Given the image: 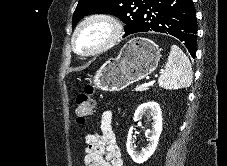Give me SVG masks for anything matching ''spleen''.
I'll list each match as a JSON object with an SVG mask.
<instances>
[{
    "instance_id": "spleen-1",
    "label": "spleen",
    "mask_w": 227,
    "mask_h": 166,
    "mask_svg": "<svg viewBox=\"0 0 227 166\" xmlns=\"http://www.w3.org/2000/svg\"><path fill=\"white\" fill-rule=\"evenodd\" d=\"M192 81L193 73L188 57L178 46L172 45L165 69L158 79L159 86L170 90L187 88Z\"/></svg>"
}]
</instances>
